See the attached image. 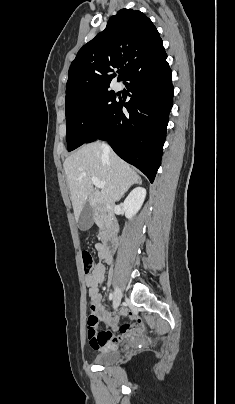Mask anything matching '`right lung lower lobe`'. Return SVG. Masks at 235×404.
<instances>
[{"mask_svg": "<svg viewBox=\"0 0 235 404\" xmlns=\"http://www.w3.org/2000/svg\"><path fill=\"white\" fill-rule=\"evenodd\" d=\"M166 58L126 79L130 101L117 102L85 142L108 141L119 157L140 169L151 183L160 166L173 104L172 71ZM123 106L129 114L122 112Z\"/></svg>", "mask_w": 235, "mask_h": 404, "instance_id": "obj_1", "label": "right lung lower lobe"}]
</instances>
